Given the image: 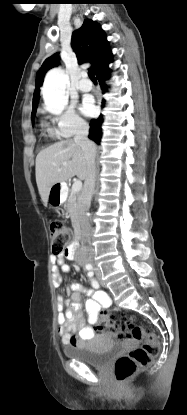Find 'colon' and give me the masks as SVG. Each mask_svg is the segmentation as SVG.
<instances>
[{
    "mask_svg": "<svg viewBox=\"0 0 187 415\" xmlns=\"http://www.w3.org/2000/svg\"><path fill=\"white\" fill-rule=\"evenodd\" d=\"M52 237V252L55 255L68 254L74 243V234L61 221L50 224ZM95 331L103 334H116L122 337L133 338L142 342L141 346L134 347L127 355L119 357L114 364V373L117 381L125 382L140 368L146 366L152 357L160 352V344L154 334L142 325L126 322L115 314L101 312Z\"/></svg>",
    "mask_w": 187,
    "mask_h": 415,
    "instance_id": "5ec220e1",
    "label": "colon"
}]
</instances>
